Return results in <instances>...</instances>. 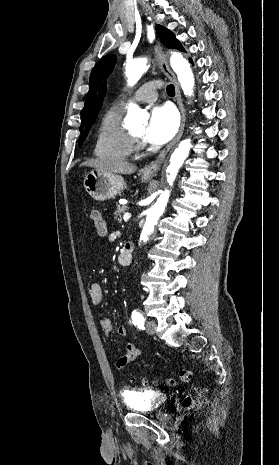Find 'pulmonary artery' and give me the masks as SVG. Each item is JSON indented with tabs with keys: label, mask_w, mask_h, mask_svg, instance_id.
I'll list each match as a JSON object with an SVG mask.
<instances>
[{
	"label": "pulmonary artery",
	"mask_w": 279,
	"mask_h": 465,
	"mask_svg": "<svg viewBox=\"0 0 279 465\" xmlns=\"http://www.w3.org/2000/svg\"><path fill=\"white\" fill-rule=\"evenodd\" d=\"M158 83L150 81L141 86L133 95V100L137 102L152 103L157 99ZM121 104H126L122 101Z\"/></svg>",
	"instance_id": "pulmonary-artery-1"
}]
</instances>
